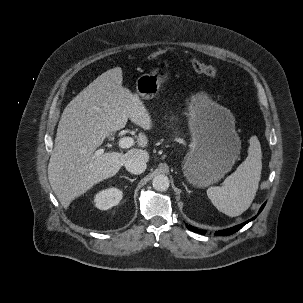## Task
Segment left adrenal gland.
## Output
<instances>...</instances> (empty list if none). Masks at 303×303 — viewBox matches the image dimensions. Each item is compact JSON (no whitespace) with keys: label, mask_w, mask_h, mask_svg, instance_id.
I'll list each match as a JSON object with an SVG mask.
<instances>
[{"label":"left adrenal gland","mask_w":303,"mask_h":303,"mask_svg":"<svg viewBox=\"0 0 303 303\" xmlns=\"http://www.w3.org/2000/svg\"><path fill=\"white\" fill-rule=\"evenodd\" d=\"M183 186L185 187L187 193H190L191 191L187 188L186 184H184V182H182Z\"/></svg>","instance_id":"left-adrenal-gland-1"}]
</instances>
